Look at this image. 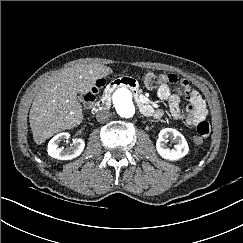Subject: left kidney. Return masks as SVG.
<instances>
[{
	"instance_id": "obj_1",
	"label": "left kidney",
	"mask_w": 243,
	"mask_h": 243,
	"mask_svg": "<svg viewBox=\"0 0 243 243\" xmlns=\"http://www.w3.org/2000/svg\"><path fill=\"white\" fill-rule=\"evenodd\" d=\"M169 139L176 143L172 149L167 147ZM156 149L161 157L171 161L184 157L189 151L188 143L184 136L173 128H164L160 131Z\"/></svg>"
}]
</instances>
